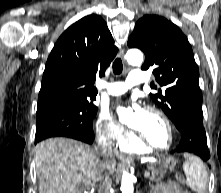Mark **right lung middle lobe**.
I'll use <instances>...</instances> for the list:
<instances>
[{
    "mask_svg": "<svg viewBox=\"0 0 221 193\" xmlns=\"http://www.w3.org/2000/svg\"><path fill=\"white\" fill-rule=\"evenodd\" d=\"M97 108L86 103H55L37 108L36 138L39 142L55 136H65L78 140L94 137L93 119Z\"/></svg>",
    "mask_w": 221,
    "mask_h": 193,
    "instance_id": "obj_1",
    "label": "right lung middle lobe"
}]
</instances>
